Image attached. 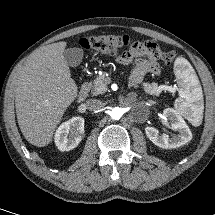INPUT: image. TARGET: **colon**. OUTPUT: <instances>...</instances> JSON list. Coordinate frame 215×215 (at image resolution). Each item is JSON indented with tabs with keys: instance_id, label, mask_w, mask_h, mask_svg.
<instances>
[{
	"instance_id": "1",
	"label": "colon",
	"mask_w": 215,
	"mask_h": 215,
	"mask_svg": "<svg viewBox=\"0 0 215 215\" xmlns=\"http://www.w3.org/2000/svg\"><path fill=\"white\" fill-rule=\"evenodd\" d=\"M131 44L132 40L127 35H95L80 40L82 49L104 54H116ZM176 56L177 52L169 51L163 54L162 59L169 65Z\"/></svg>"
}]
</instances>
